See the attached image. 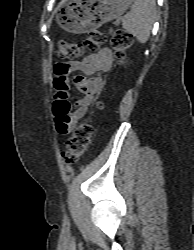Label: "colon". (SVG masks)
Segmentation results:
<instances>
[{
  "mask_svg": "<svg viewBox=\"0 0 194 250\" xmlns=\"http://www.w3.org/2000/svg\"><path fill=\"white\" fill-rule=\"evenodd\" d=\"M107 40L110 41L113 49L116 51L117 57H121L124 51L131 44V36L122 29H116L111 32L103 30H92L87 33L84 43H76L70 41H63L59 44V56L61 58L73 59L78 58L84 54L86 50H96ZM63 95H56V102L54 111L62 110L60 100H63ZM97 109L103 108V103L98 102ZM93 125L90 119L81 122L74 130L71 138L66 143V149L62 156L67 163H72L77 160L88 148L93 134Z\"/></svg>",
  "mask_w": 194,
  "mask_h": 250,
  "instance_id": "5ec220e1",
  "label": "colon"
}]
</instances>
